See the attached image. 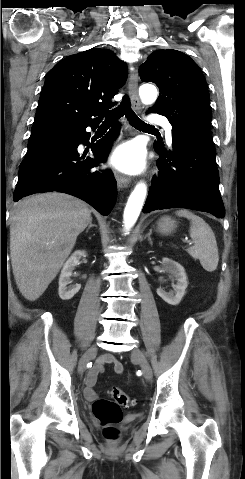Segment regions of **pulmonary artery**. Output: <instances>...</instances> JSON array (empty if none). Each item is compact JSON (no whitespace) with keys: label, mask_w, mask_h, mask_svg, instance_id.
I'll list each match as a JSON object with an SVG mask.
<instances>
[{"label":"pulmonary artery","mask_w":245,"mask_h":479,"mask_svg":"<svg viewBox=\"0 0 245 479\" xmlns=\"http://www.w3.org/2000/svg\"><path fill=\"white\" fill-rule=\"evenodd\" d=\"M151 121L153 123L160 124L161 126H163L165 128V130L167 132L168 141L171 142L172 127H171L170 123L168 122V120L162 115H154L151 118Z\"/></svg>","instance_id":"1"}]
</instances>
